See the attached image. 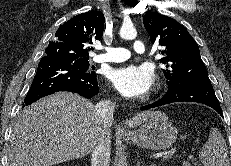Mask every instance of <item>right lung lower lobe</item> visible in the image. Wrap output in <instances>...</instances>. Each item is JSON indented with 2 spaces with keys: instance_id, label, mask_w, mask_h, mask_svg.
Listing matches in <instances>:
<instances>
[{
  "instance_id": "1",
  "label": "right lung lower lobe",
  "mask_w": 231,
  "mask_h": 166,
  "mask_svg": "<svg viewBox=\"0 0 231 166\" xmlns=\"http://www.w3.org/2000/svg\"><path fill=\"white\" fill-rule=\"evenodd\" d=\"M58 91H71L92 98L99 92L96 75L94 72H83L72 64L42 57L23 104L30 105Z\"/></svg>"
}]
</instances>
